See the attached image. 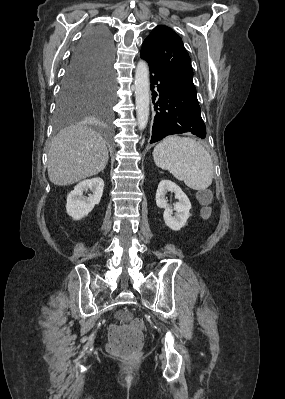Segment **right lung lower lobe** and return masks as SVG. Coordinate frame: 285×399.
<instances>
[{
    "label": "right lung lower lobe",
    "mask_w": 285,
    "mask_h": 399,
    "mask_svg": "<svg viewBox=\"0 0 285 399\" xmlns=\"http://www.w3.org/2000/svg\"><path fill=\"white\" fill-rule=\"evenodd\" d=\"M113 77V41L104 27H94L85 32L74 50L65 77Z\"/></svg>",
    "instance_id": "98d812e1"
}]
</instances>
